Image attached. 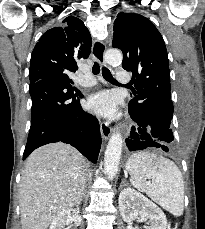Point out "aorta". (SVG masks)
Masks as SVG:
<instances>
[{"instance_id":"obj_1","label":"aorta","mask_w":205,"mask_h":229,"mask_svg":"<svg viewBox=\"0 0 205 229\" xmlns=\"http://www.w3.org/2000/svg\"><path fill=\"white\" fill-rule=\"evenodd\" d=\"M104 58L107 64L118 66L122 63L123 56L118 49H109ZM122 145V135L119 132H114L109 139L104 155V173L109 180H113L118 171Z\"/></svg>"}]
</instances>
